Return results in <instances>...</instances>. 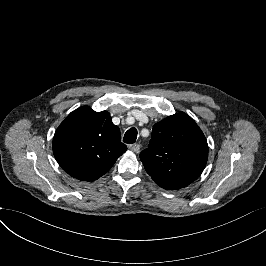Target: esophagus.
I'll use <instances>...</instances> for the list:
<instances>
[{
    "mask_svg": "<svg viewBox=\"0 0 266 266\" xmlns=\"http://www.w3.org/2000/svg\"><path fill=\"white\" fill-rule=\"evenodd\" d=\"M129 150L135 152V153H139L140 152V145L139 144H131L129 145Z\"/></svg>",
    "mask_w": 266,
    "mask_h": 266,
    "instance_id": "esophagus-1",
    "label": "esophagus"
}]
</instances>
